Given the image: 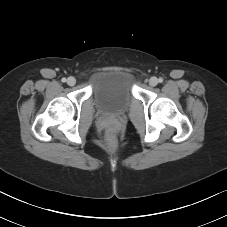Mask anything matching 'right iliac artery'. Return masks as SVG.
Masks as SVG:
<instances>
[{
  "mask_svg": "<svg viewBox=\"0 0 227 227\" xmlns=\"http://www.w3.org/2000/svg\"><path fill=\"white\" fill-rule=\"evenodd\" d=\"M62 82H66V78H62V80H61Z\"/></svg>",
  "mask_w": 227,
  "mask_h": 227,
  "instance_id": "1",
  "label": "right iliac artery"
}]
</instances>
